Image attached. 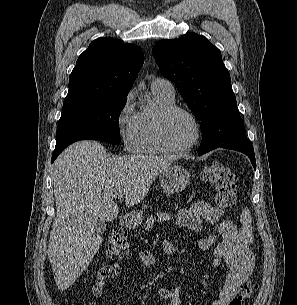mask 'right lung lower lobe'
Segmentation results:
<instances>
[{"label":"right lung lower lobe","mask_w":297,"mask_h":305,"mask_svg":"<svg viewBox=\"0 0 297 305\" xmlns=\"http://www.w3.org/2000/svg\"><path fill=\"white\" fill-rule=\"evenodd\" d=\"M64 149H55L52 154L51 163L54 162V160L57 158V156L63 151Z\"/></svg>","instance_id":"right-lung-lower-lobe-1"}]
</instances>
